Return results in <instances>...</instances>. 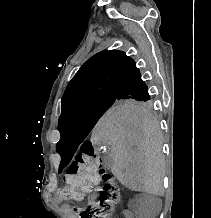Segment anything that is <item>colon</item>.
<instances>
[{
    "instance_id": "colon-1",
    "label": "colon",
    "mask_w": 211,
    "mask_h": 218,
    "mask_svg": "<svg viewBox=\"0 0 211 218\" xmlns=\"http://www.w3.org/2000/svg\"><path fill=\"white\" fill-rule=\"evenodd\" d=\"M105 181L99 197L76 211V218H107L120 200V191L111 176L102 168L92 141H85L67 168L62 194L65 199L80 200Z\"/></svg>"
}]
</instances>
